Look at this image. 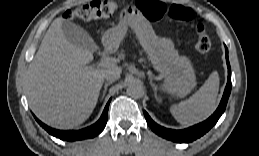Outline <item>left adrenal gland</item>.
<instances>
[{
	"mask_svg": "<svg viewBox=\"0 0 259 156\" xmlns=\"http://www.w3.org/2000/svg\"><path fill=\"white\" fill-rule=\"evenodd\" d=\"M150 85L152 86V88H153V90H154L155 99L159 101V98L157 97V88H156V86L152 83V80H150Z\"/></svg>",
	"mask_w": 259,
	"mask_h": 156,
	"instance_id": "left-adrenal-gland-1",
	"label": "left adrenal gland"
}]
</instances>
